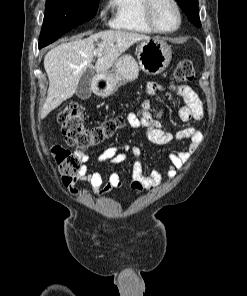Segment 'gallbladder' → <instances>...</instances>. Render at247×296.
I'll return each instance as SVG.
<instances>
[{"label": "gallbladder", "instance_id": "bac80fb5", "mask_svg": "<svg viewBox=\"0 0 247 296\" xmlns=\"http://www.w3.org/2000/svg\"><path fill=\"white\" fill-rule=\"evenodd\" d=\"M92 80H93V70L87 69L79 80L76 95L82 99H88L92 94Z\"/></svg>", "mask_w": 247, "mask_h": 296}]
</instances>
